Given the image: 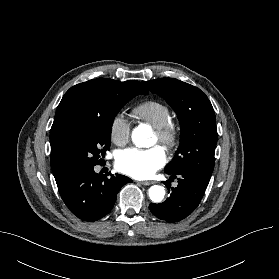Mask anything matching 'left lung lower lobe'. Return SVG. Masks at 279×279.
<instances>
[{
	"label": "left lung lower lobe",
	"instance_id": "0a47b994",
	"mask_svg": "<svg viewBox=\"0 0 279 279\" xmlns=\"http://www.w3.org/2000/svg\"><path fill=\"white\" fill-rule=\"evenodd\" d=\"M170 178L179 176L178 186L171 188L169 181L164 182L169 191L170 197L160 204L151 203L150 211L159 219L167 222H179L190 215L199 205L201 198L208 186L206 180L191 172H180L171 174Z\"/></svg>",
	"mask_w": 279,
	"mask_h": 279
}]
</instances>
